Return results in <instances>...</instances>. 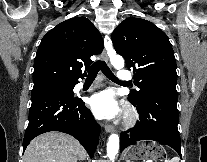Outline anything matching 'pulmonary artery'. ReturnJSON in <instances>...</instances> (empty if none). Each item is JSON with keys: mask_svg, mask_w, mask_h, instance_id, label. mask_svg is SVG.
Here are the masks:
<instances>
[{"mask_svg": "<svg viewBox=\"0 0 207 162\" xmlns=\"http://www.w3.org/2000/svg\"><path fill=\"white\" fill-rule=\"evenodd\" d=\"M130 77H131V74H129V73H124V72H122V71H120V72L118 73V78H119V80H120L122 83H124V84H127V81L130 79ZM78 87H79V88H82V87H83V83H80V84L78 85Z\"/></svg>", "mask_w": 207, "mask_h": 162, "instance_id": "pulmonary-artery-1", "label": "pulmonary artery"}]
</instances>
